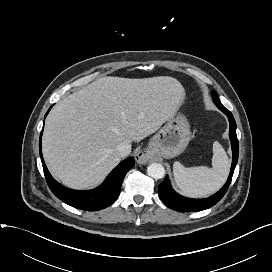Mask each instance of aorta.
Masks as SVG:
<instances>
[{"mask_svg":"<svg viewBox=\"0 0 272 272\" xmlns=\"http://www.w3.org/2000/svg\"><path fill=\"white\" fill-rule=\"evenodd\" d=\"M147 173L154 179H161L165 175V169L159 163H152L147 167Z\"/></svg>","mask_w":272,"mask_h":272,"instance_id":"obj_1","label":"aorta"}]
</instances>
